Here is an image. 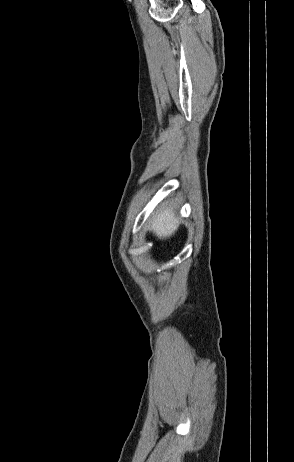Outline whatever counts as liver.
Listing matches in <instances>:
<instances>
[{"mask_svg": "<svg viewBox=\"0 0 294 462\" xmlns=\"http://www.w3.org/2000/svg\"><path fill=\"white\" fill-rule=\"evenodd\" d=\"M179 219L170 210L166 209L156 215L149 225V229L160 239L169 238L179 227Z\"/></svg>", "mask_w": 294, "mask_h": 462, "instance_id": "6515ba94", "label": "liver"}]
</instances>
